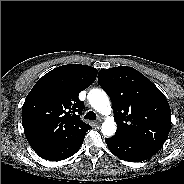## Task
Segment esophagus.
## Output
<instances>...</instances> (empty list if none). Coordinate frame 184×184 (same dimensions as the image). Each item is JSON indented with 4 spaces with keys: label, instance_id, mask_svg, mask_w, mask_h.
I'll return each instance as SVG.
<instances>
[{
    "label": "esophagus",
    "instance_id": "34e87169",
    "mask_svg": "<svg viewBox=\"0 0 184 184\" xmlns=\"http://www.w3.org/2000/svg\"><path fill=\"white\" fill-rule=\"evenodd\" d=\"M101 124V119H98V121L96 122V125H100Z\"/></svg>",
    "mask_w": 184,
    "mask_h": 184
}]
</instances>
